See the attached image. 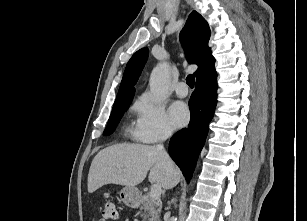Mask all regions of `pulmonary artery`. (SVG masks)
<instances>
[{"label": "pulmonary artery", "mask_w": 307, "mask_h": 221, "mask_svg": "<svg viewBox=\"0 0 307 221\" xmlns=\"http://www.w3.org/2000/svg\"><path fill=\"white\" fill-rule=\"evenodd\" d=\"M175 93L178 97H186L188 95V88L184 82H179L175 86Z\"/></svg>", "instance_id": "1"}]
</instances>
